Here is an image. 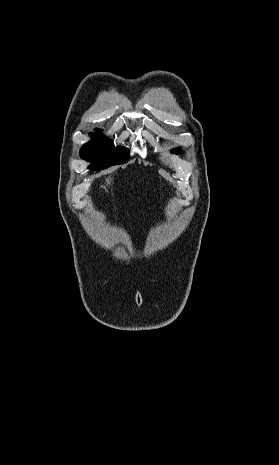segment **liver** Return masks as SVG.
Listing matches in <instances>:
<instances>
[{
    "mask_svg": "<svg viewBox=\"0 0 279 465\" xmlns=\"http://www.w3.org/2000/svg\"><path fill=\"white\" fill-rule=\"evenodd\" d=\"M107 184H110V179H106ZM105 188V187H104ZM106 189V188H105Z\"/></svg>",
    "mask_w": 279,
    "mask_h": 465,
    "instance_id": "obj_1",
    "label": "liver"
}]
</instances>
